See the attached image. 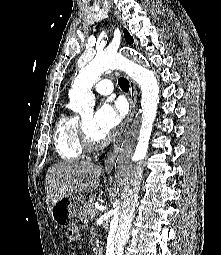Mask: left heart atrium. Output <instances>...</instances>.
Instances as JSON below:
<instances>
[{
  "mask_svg": "<svg viewBox=\"0 0 221 255\" xmlns=\"http://www.w3.org/2000/svg\"><path fill=\"white\" fill-rule=\"evenodd\" d=\"M123 115L124 109L121 104L103 103L93 117L94 128L107 136L121 123Z\"/></svg>",
  "mask_w": 221,
  "mask_h": 255,
  "instance_id": "39dd6f15",
  "label": "left heart atrium"
}]
</instances>
